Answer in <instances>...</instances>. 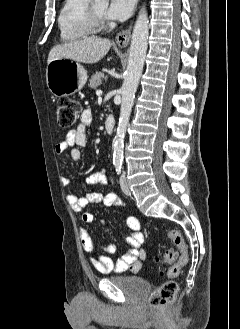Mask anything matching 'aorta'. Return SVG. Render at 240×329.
Wrapping results in <instances>:
<instances>
[{"instance_id":"1","label":"aorta","mask_w":240,"mask_h":329,"mask_svg":"<svg viewBox=\"0 0 240 329\" xmlns=\"http://www.w3.org/2000/svg\"><path fill=\"white\" fill-rule=\"evenodd\" d=\"M96 3H107L108 0H94ZM149 20L143 7L134 25L129 58L123 85L121 88V108L117 133L113 148V164L120 166L123 161L124 138L129 123L134 97L142 74L148 46Z\"/></svg>"}]
</instances>
